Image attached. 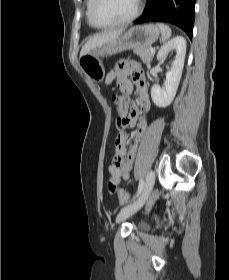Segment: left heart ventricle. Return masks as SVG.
I'll use <instances>...</instances> for the list:
<instances>
[{
  "label": "left heart ventricle",
  "instance_id": "obj_1",
  "mask_svg": "<svg viewBox=\"0 0 229 280\" xmlns=\"http://www.w3.org/2000/svg\"><path fill=\"white\" fill-rule=\"evenodd\" d=\"M137 6V0H100L95 10L97 23L106 24L129 17Z\"/></svg>",
  "mask_w": 229,
  "mask_h": 280
}]
</instances>
